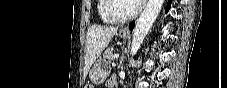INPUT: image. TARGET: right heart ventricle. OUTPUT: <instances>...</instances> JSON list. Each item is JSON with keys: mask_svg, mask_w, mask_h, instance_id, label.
<instances>
[{"mask_svg": "<svg viewBox=\"0 0 227 88\" xmlns=\"http://www.w3.org/2000/svg\"><path fill=\"white\" fill-rule=\"evenodd\" d=\"M106 0H98V12L100 19L105 23H114L105 11Z\"/></svg>", "mask_w": 227, "mask_h": 88, "instance_id": "right-heart-ventricle-1", "label": "right heart ventricle"}]
</instances>
